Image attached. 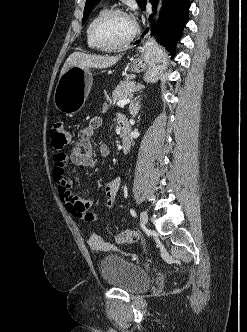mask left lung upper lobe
I'll list each match as a JSON object with an SVG mask.
<instances>
[{"label": "left lung upper lobe", "mask_w": 247, "mask_h": 332, "mask_svg": "<svg viewBox=\"0 0 247 332\" xmlns=\"http://www.w3.org/2000/svg\"><path fill=\"white\" fill-rule=\"evenodd\" d=\"M100 0H86L85 8H84V15L82 19V24H84L90 15L92 9ZM138 5L143 8L146 4V0H137Z\"/></svg>", "instance_id": "obj_1"}]
</instances>
